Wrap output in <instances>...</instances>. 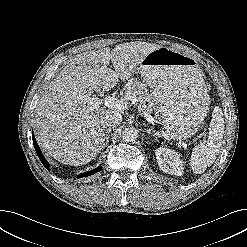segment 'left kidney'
<instances>
[{
    "mask_svg": "<svg viewBox=\"0 0 247 247\" xmlns=\"http://www.w3.org/2000/svg\"><path fill=\"white\" fill-rule=\"evenodd\" d=\"M160 169L171 175L181 176L184 173L183 161L178 152L160 147L155 151Z\"/></svg>",
    "mask_w": 247,
    "mask_h": 247,
    "instance_id": "left-kidney-1",
    "label": "left kidney"
}]
</instances>
